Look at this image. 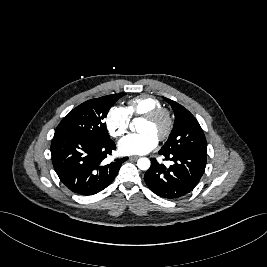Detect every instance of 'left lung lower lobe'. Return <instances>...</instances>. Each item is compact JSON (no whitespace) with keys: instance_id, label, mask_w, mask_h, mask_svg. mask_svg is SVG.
Segmentation results:
<instances>
[{"instance_id":"0a47b994","label":"left lung lower lobe","mask_w":267,"mask_h":267,"mask_svg":"<svg viewBox=\"0 0 267 267\" xmlns=\"http://www.w3.org/2000/svg\"><path fill=\"white\" fill-rule=\"evenodd\" d=\"M159 154L172 161V165L166 167L152 158L144 175L147 186L166 199H177L191 192L205 171L207 155L195 152Z\"/></svg>"}]
</instances>
